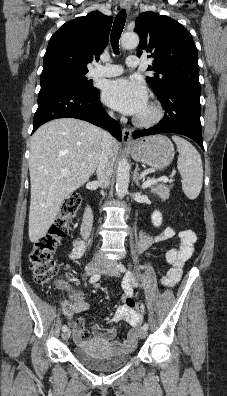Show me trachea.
<instances>
[{"mask_svg":"<svg viewBox=\"0 0 227 396\" xmlns=\"http://www.w3.org/2000/svg\"><path fill=\"white\" fill-rule=\"evenodd\" d=\"M125 21H126V11L120 10L119 13L117 14L113 27H112V31H111V36H110V40H111V45L112 48L114 50L115 54H119V39L121 36V33L123 31L124 25H125Z\"/></svg>","mask_w":227,"mask_h":396,"instance_id":"obj_1","label":"trachea"}]
</instances>
